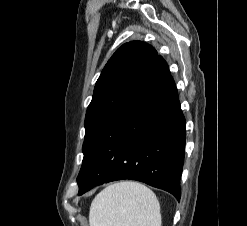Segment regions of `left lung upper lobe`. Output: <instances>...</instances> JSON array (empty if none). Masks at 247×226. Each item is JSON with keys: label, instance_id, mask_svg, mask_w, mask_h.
<instances>
[{"label": "left lung upper lobe", "instance_id": "5c2ea615", "mask_svg": "<svg viewBox=\"0 0 247 226\" xmlns=\"http://www.w3.org/2000/svg\"><path fill=\"white\" fill-rule=\"evenodd\" d=\"M157 58V51L151 45L131 41L117 49L109 59L96 82L86 112L83 162Z\"/></svg>", "mask_w": 247, "mask_h": 226}]
</instances>
